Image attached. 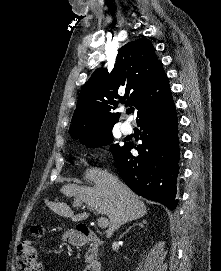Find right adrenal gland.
<instances>
[{
  "label": "right adrenal gland",
  "instance_id": "right-adrenal-gland-1",
  "mask_svg": "<svg viewBox=\"0 0 221 271\" xmlns=\"http://www.w3.org/2000/svg\"><path fill=\"white\" fill-rule=\"evenodd\" d=\"M144 223H146V219H142V223H133V225H141V227H144ZM133 225H130L129 229H131V227H133ZM128 231V229H127Z\"/></svg>",
  "mask_w": 221,
  "mask_h": 271
}]
</instances>
